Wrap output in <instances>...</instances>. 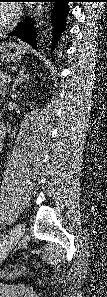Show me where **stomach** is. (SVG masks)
I'll use <instances>...</instances> for the list:
<instances>
[{
  "label": "stomach",
  "mask_w": 107,
  "mask_h": 297,
  "mask_svg": "<svg viewBox=\"0 0 107 297\" xmlns=\"http://www.w3.org/2000/svg\"><path fill=\"white\" fill-rule=\"evenodd\" d=\"M1 61L3 62H14L17 63L21 61L24 54L27 51V47H25L21 43H6L1 45Z\"/></svg>",
  "instance_id": "stomach-1"
}]
</instances>
